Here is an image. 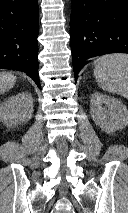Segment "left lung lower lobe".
Returning a JSON list of instances; mask_svg holds the SVG:
<instances>
[{
  "label": "left lung lower lobe",
  "instance_id": "1",
  "mask_svg": "<svg viewBox=\"0 0 128 213\" xmlns=\"http://www.w3.org/2000/svg\"><path fill=\"white\" fill-rule=\"evenodd\" d=\"M70 38L75 80L87 59L128 53V0H72Z\"/></svg>",
  "mask_w": 128,
  "mask_h": 213
}]
</instances>
